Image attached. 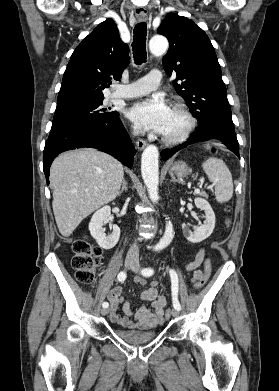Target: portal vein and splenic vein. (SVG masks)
<instances>
[{
    "mask_svg": "<svg viewBox=\"0 0 279 391\" xmlns=\"http://www.w3.org/2000/svg\"><path fill=\"white\" fill-rule=\"evenodd\" d=\"M195 194H199L200 193V189L199 188H196L195 191H194Z\"/></svg>",
    "mask_w": 279,
    "mask_h": 391,
    "instance_id": "18ae733b",
    "label": "portal vein and splenic vein"
}]
</instances>
